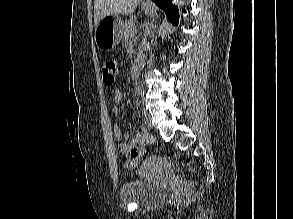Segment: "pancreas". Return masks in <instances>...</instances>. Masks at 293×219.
Listing matches in <instances>:
<instances>
[{"mask_svg":"<svg viewBox=\"0 0 293 219\" xmlns=\"http://www.w3.org/2000/svg\"><path fill=\"white\" fill-rule=\"evenodd\" d=\"M135 23H136V18L135 17H130L127 19L122 26L123 29V37L128 38L132 36L135 33Z\"/></svg>","mask_w":293,"mask_h":219,"instance_id":"1","label":"pancreas"}]
</instances>
